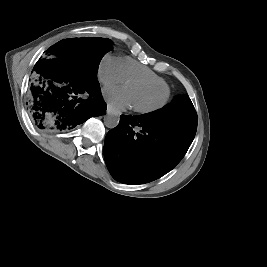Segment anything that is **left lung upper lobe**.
I'll return each instance as SVG.
<instances>
[{"label": "left lung upper lobe", "instance_id": "obj_1", "mask_svg": "<svg viewBox=\"0 0 267 267\" xmlns=\"http://www.w3.org/2000/svg\"><path fill=\"white\" fill-rule=\"evenodd\" d=\"M144 117L157 119H175L197 125V114L188 95L175 96L171 103L151 113L143 114Z\"/></svg>", "mask_w": 267, "mask_h": 267}]
</instances>
